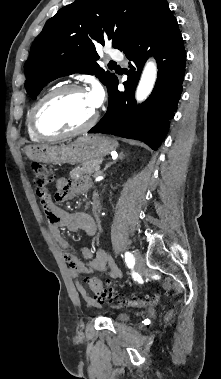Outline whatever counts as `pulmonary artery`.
<instances>
[{
	"instance_id": "obj_1",
	"label": "pulmonary artery",
	"mask_w": 221,
	"mask_h": 379,
	"mask_svg": "<svg viewBox=\"0 0 221 379\" xmlns=\"http://www.w3.org/2000/svg\"><path fill=\"white\" fill-rule=\"evenodd\" d=\"M109 57L111 59H114V60H122L123 59V55L121 52L119 51H116V50H112L108 53Z\"/></svg>"
}]
</instances>
